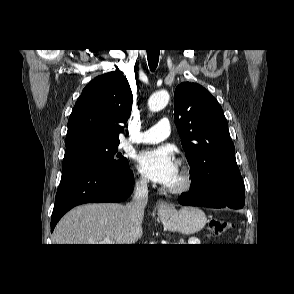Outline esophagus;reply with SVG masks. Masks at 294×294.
Returning <instances> with one entry per match:
<instances>
[{
    "label": "esophagus",
    "mask_w": 294,
    "mask_h": 294,
    "mask_svg": "<svg viewBox=\"0 0 294 294\" xmlns=\"http://www.w3.org/2000/svg\"><path fill=\"white\" fill-rule=\"evenodd\" d=\"M173 211V206L165 201H160L158 204V212L168 214Z\"/></svg>",
    "instance_id": "esophagus-1"
}]
</instances>
